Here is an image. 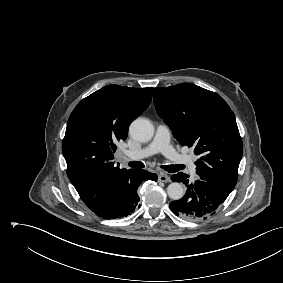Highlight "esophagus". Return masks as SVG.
<instances>
[{
    "mask_svg": "<svg viewBox=\"0 0 283 283\" xmlns=\"http://www.w3.org/2000/svg\"><path fill=\"white\" fill-rule=\"evenodd\" d=\"M159 181L169 183V182H171V179L166 173H160L159 174Z\"/></svg>",
    "mask_w": 283,
    "mask_h": 283,
    "instance_id": "1",
    "label": "esophagus"
}]
</instances>
